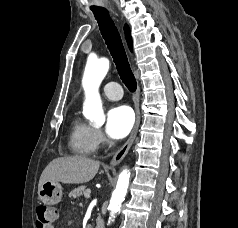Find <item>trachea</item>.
Listing matches in <instances>:
<instances>
[{
  "instance_id": "trachea-1",
  "label": "trachea",
  "mask_w": 238,
  "mask_h": 228,
  "mask_svg": "<svg viewBox=\"0 0 238 228\" xmlns=\"http://www.w3.org/2000/svg\"><path fill=\"white\" fill-rule=\"evenodd\" d=\"M93 13L99 24L101 34L114 59V63L122 82L126 85L129 91L135 92L137 88L136 79L130 68L118 29L110 18L107 10H93Z\"/></svg>"
}]
</instances>
